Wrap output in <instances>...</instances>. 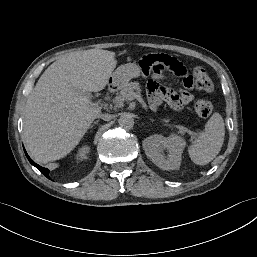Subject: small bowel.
I'll use <instances>...</instances> for the list:
<instances>
[{"label":"small bowel","mask_w":257,"mask_h":257,"mask_svg":"<svg viewBox=\"0 0 257 257\" xmlns=\"http://www.w3.org/2000/svg\"><path fill=\"white\" fill-rule=\"evenodd\" d=\"M134 70L139 75L152 74L145 82L152 110L166 102L173 110L179 111L193 100L189 92L195 89L194 77L176 57L159 52L145 54L136 58ZM175 79L183 81L182 91Z\"/></svg>","instance_id":"obj_1"}]
</instances>
